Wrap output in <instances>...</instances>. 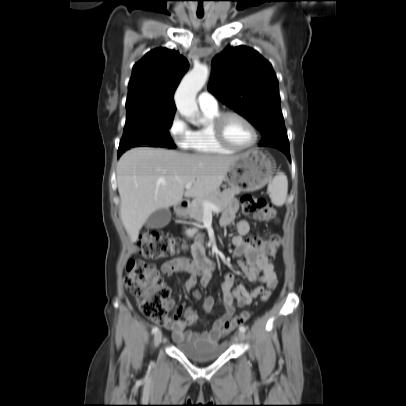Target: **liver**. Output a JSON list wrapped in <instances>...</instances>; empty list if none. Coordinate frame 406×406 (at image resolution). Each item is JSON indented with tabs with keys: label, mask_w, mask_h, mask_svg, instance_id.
I'll use <instances>...</instances> for the list:
<instances>
[{
	"label": "liver",
	"mask_w": 406,
	"mask_h": 406,
	"mask_svg": "<svg viewBox=\"0 0 406 406\" xmlns=\"http://www.w3.org/2000/svg\"><path fill=\"white\" fill-rule=\"evenodd\" d=\"M237 156L189 154L162 148L138 147L117 163L120 217L132 242L149 216L175 206L185 197L217 191ZM191 188L184 190L186 183Z\"/></svg>",
	"instance_id": "obj_1"
}]
</instances>
